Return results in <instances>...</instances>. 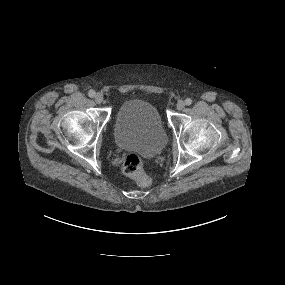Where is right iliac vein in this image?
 Returning <instances> with one entry per match:
<instances>
[{"mask_svg":"<svg viewBox=\"0 0 285 285\" xmlns=\"http://www.w3.org/2000/svg\"><path fill=\"white\" fill-rule=\"evenodd\" d=\"M103 100H104V98H103V95L101 93H97L95 95V102L96 103L100 104L103 102Z\"/></svg>","mask_w":285,"mask_h":285,"instance_id":"obj_1","label":"right iliac vein"}]
</instances>
